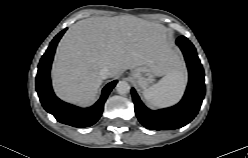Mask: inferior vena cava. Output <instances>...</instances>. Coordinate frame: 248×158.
I'll list each match as a JSON object with an SVG mask.
<instances>
[{"label":"inferior vena cava","instance_id":"602c4592","mask_svg":"<svg viewBox=\"0 0 248 158\" xmlns=\"http://www.w3.org/2000/svg\"><path fill=\"white\" fill-rule=\"evenodd\" d=\"M99 75L102 79H106L110 75V70L107 67H104L100 70Z\"/></svg>","mask_w":248,"mask_h":158}]
</instances>
